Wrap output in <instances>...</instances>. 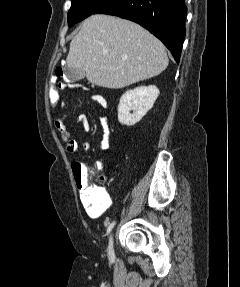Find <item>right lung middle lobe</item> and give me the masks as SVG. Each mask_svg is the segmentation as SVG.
Returning a JSON list of instances; mask_svg holds the SVG:
<instances>
[{"mask_svg":"<svg viewBox=\"0 0 240 287\" xmlns=\"http://www.w3.org/2000/svg\"><path fill=\"white\" fill-rule=\"evenodd\" d=\"M107 0H72L68 11L69 27L94 14Z\"/></svg>","mask_w":240,"mask_h":287,"instance_id":"dd1d6c3e","label":"right lung middle lobe"}]
</instances>
